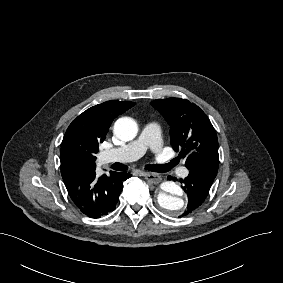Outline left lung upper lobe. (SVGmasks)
Wrapping results in <instances>:
<instances>
[{
	"label": "left lung upper lobe",
	"mask_w": 283,
	"mask_h": 283,
	"mask_svg": "<svg viewBox=\"0 0 283 283\" xmlns=\"http://www.w3.org/2000/svg\"><path fill=\"white\" fill-rule=\"evenodd\" d=\"M170 125L171 144L180 149L179 158L185 166L209 168L218 171V140L214 127L206 114L195 104L179 98L159 99L152 102Z\"/></svg>",
	"instance_id": "obj_1"
}]
</instances>
